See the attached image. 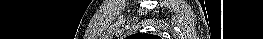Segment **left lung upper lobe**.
<instances>
[{
	"label": "left lung upper lobe",
	"instance_id": "5c2ea615",
	"mask_svg": "<svg viewBox=\"0 0 263 39\" xmlns=\"http://www.w3.org/2000/svg\"><path fill=\"white\" fill-rule=\"evenodd\" d=\"M127 39H160V37L152 34L138 33L130 35Z\"/></svg>",
	"mask_w": 263,
	"mask_h": 39
}]
</instances>
